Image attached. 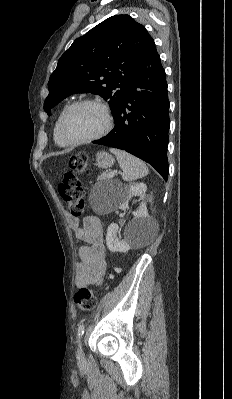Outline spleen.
<instances>
[{
    "label": "spleen",
    "mask_w": 232,
    "mask_h": 399,
    "mask_svg": "<svg viewBox=\"0 0 232 399\" xmlns=\"http://www.w3.org/2000/svg\"><path fill=\"white\" fill-rule=\"evenodd\" d=\"M110 152L116 156L117 162L123 170L122 178L124 182H134V180H139V178H144L149 174L146 164L138 158H134L131 154H127L123 150H115V148H110Z\"/></svg>",
    "instance_id": "1"
}]
</instances>
